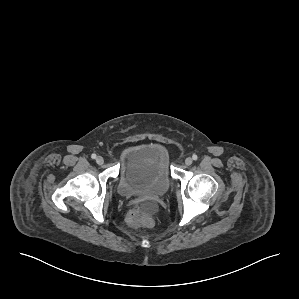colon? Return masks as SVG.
I'll list each match as a JSON object with an SVG mask.
<instances>
[{
  "label": "colon",
  "instance_id": "obj_1",
  "mask_svg": "<svg viewBox=\"0 0 299 299\" xmlns=\"http://www.w3.org/2000/svg\"><path fill=\"white\" fill-rule=\"evenodd\" d=\"M127 223L134 227H150L153 224V220L141 209L134 208L127 215Z\"/></svg>",
  "mask_w": 299,
  "mask_h": 299
}]
</instances>
